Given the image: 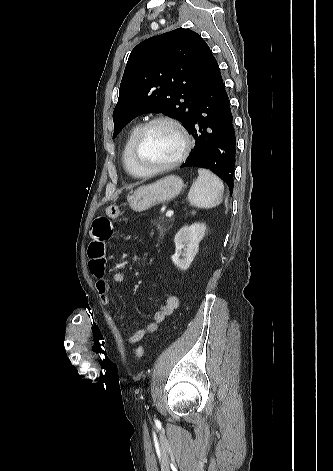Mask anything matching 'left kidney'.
<instances>
[{
	"mask_svg": "<svg viewBox=\"0 0 333 471\" xmlns=\"http://www.w3.org/2000/svg\"><path fill=\"white\" fill-rule=\"evenodd\" d=\"M206 231L205 224L195 223L182 227L175 235V254L171 256L174 265L181 270H187L196 256L199 243ZM182 257V258H181Z\"/></svg>",
	"mask_w": 333,
	"mask_h": 471,
	"instance_id": "left-kidney-1",
	"label": "left kidney"
}]
</instances>
